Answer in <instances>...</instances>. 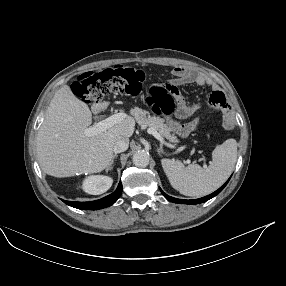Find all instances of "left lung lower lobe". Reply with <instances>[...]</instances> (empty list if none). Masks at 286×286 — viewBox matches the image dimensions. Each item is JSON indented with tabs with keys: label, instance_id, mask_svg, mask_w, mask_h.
Listing matches in <instances>:
<instances>
[{
	"label": "left lung lower lobe",
	"instance_id": "0a47b994",
	"mask_svg": "<svg viewBox=\"0 0 286 286\" xmlns=\"http://www.w3.org/2000/svg\"><path fill=\"white\" fill-rule=\"evenodd\" d=\"M230 180V178L226 181V183L221 186L217 191H215L214 193L208 195V196H205V197H202V198H199V199H195V200H182V199H176V198H173L171 196H168L167 194H165L161 189V192L162 194L164 195V197L166 199H168L169 201L171 202H174V203H181V204H199V203H202V202H206L208 201L209 199L213 198L214 196H216L217 194H219L223 188L226 186V184L228 183V181Z\"/></svg>",
	"mask_w": 286,
	"mask_h": 286
}]
</instances>
